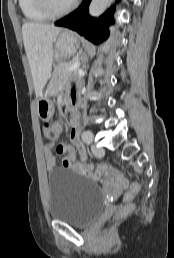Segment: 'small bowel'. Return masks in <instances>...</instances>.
Listing matches in <instances>:
<instances>
[{"label": "small bowel", "mask_w": 174, "mask_h": 258, "mask_svg": "<svg viewBox=\"0 0 174 258\" xmlns=\"http://www.w3.org/2000/svg\"><path fill=\"white\" fill-rule=\"evenodd\" d=\"M66 94L69 97L77 96L76 91L71 87L66 90ZM71 130H70V140L71 144L62 143L56 147L57 154H63L62 165L65 168L71 169L84 176V179H102V184L111 183V180H107L109 176H115L120 184H129V179H123L124 175L121 171H114V167H90L91 163L86 162L88 159L87 152L84 145L79 139V133L81 128V120L78 114H73L70 119ZM77 150L81 163H76V153ZM44 156L46 160V166L48 171L55 169L57 164V156L53 152V146L46 145L44 147ZM112 172V173H111Z\"/></svg>", "instance_id": "small-bowel-1"}]
</instances>
